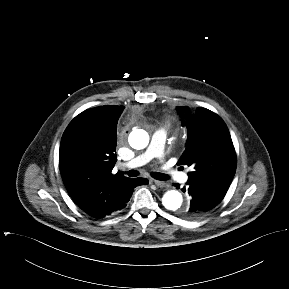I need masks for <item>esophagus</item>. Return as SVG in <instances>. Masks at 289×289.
Segmentation results:
<instances>
[{
  "instance_id": "esophagus-1",
  "label": "esophagus",
  "mask_w": 289,
  "mask_h": 289,
  "mask_svg": "<svg viewBox=\"0 0 289 289\" xmlns=\"http://www.w3.org/2000/svg\"><path fill=\"white\" fill-rule=\"evenodd\" d=\"M154 184L160 188L162 187H166L167 186V183L164 182V181H159V180H153Z\"/></svg>"
}]
</instances>
